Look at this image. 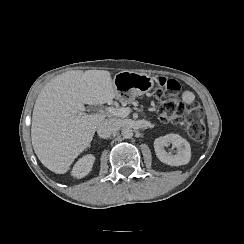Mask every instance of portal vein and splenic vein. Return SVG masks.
<instances>
[{
    "instance_id": "portal-vein-and-splenic-vein-1",
    "label": "portal vein and splenic vein",
    "mask_w": 244,
    "mask_h": 244,
    "mask_svg": "<svg viewBox=\"0 0 244 244\" xmlns=\"http://www.w3.org/2000/svg\"><path fill=\"white\" fill-rule=\"evenodd\" d=\"M130 110L131 109L129 107H127V108H115L113 106H110V107L104 108V111L106 113L112 114L113 116H116V117H126L129 115ZM83 114H84L83 112H80L79 114H77L74 117V120L76 123H78L80 121Z\"/></svg>"
}]
</instances>
